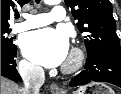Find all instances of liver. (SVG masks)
Returning <instances> with one entry per match:
<instances>
[{
	"label": "liver",
	"mask_w": 121,
	"mask_h": 94,
	"mask_svg": "<svg viewBox=\"0 0 121 94\" xmlns=\"http://www.w3.org/2000/svg\"><path fill=\"white\" fill-rule=\"evenodd\" d=\"M1 94H22L20 87L1 76Z\"/></svg>",
	"instance_id": "obj_1"
}]
</instances>
